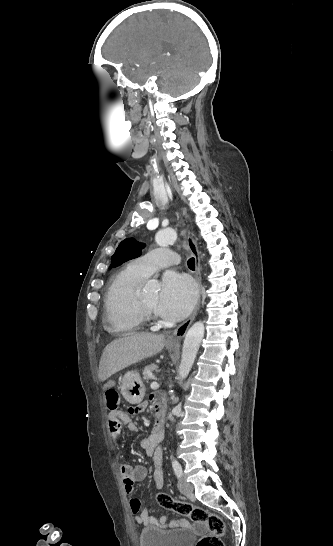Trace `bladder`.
I'll use <instances>...</instances> for the list:
<instances>
[{
	"label": "bladder",
	"mask_w": 333,
	"mask_h": 546,
	"mask_svg": "<svg viewBox=\"0 0 333 546\" xmlns=\"http://www.w3.org/2000/svg\"><path fill=\"white\" fill-rule=\"evenodd\" d=\"M140 546H192L194 535L186 529L172 531L147 526L140 533Z\"/></svg>",
	"instance_id": "31cf9c89"
}]
</instances>
